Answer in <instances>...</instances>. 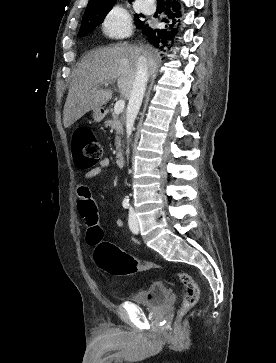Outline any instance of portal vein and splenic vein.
Here are the masks:
<instances>
[{"label": "portal vein and splenic vein", "instance_id": "18ae733b", "mask_svg": "<svg viewBox=\"0 0 276 363\" xmlns=\"http://www.w3.org/2000/svg\"><path fill=\"white\" fill-rule=\"evenodd\" d=\"M109 83H105V86H108ZM125 108V101L124 100H119L115 103V106H114V113L116 115H119L120 113L123 112Z\"/></svg>", "mask_w": 276, "mask_h": 363}]
</instances>
